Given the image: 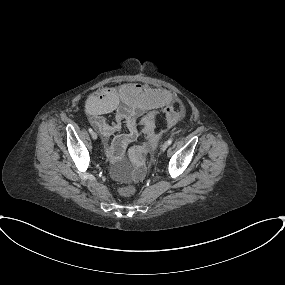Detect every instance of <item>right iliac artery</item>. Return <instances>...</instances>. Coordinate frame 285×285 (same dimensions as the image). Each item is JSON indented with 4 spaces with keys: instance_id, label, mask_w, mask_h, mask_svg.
<instances>
[{
    "instance_id": "1",
    "label": "right iliac artery",
    "mask_w": 285,
    "mask_h": 285,
    "mask_svg": "<svg viewBox=\"0 0 285 285\" xmlns=\"http://www.w3.org/2000/svg\"><path fill=\"white\" fill-rule=\"evenodd\" d=\"M89 132H90V133H92V132H93V130H92L91 128H89Z\"/></svg>"
}]
</instances>
